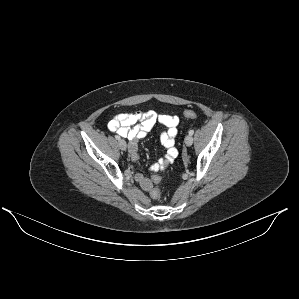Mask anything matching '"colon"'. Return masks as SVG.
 Returning a JSON list of instances; mask_svg holds the SVG:
<instances>
[{
    "instance_id": "colon-1",
    "label": "colon",
    "mask_w": 299,
    "mask_h": 299,
    "mask_svg": "<svg viewBox=\"0 0 299 299\" xmlns=\"http://www.w3.org/2000/svg\"><path fill=\"white\" fill-rule=\"evenodd\" d=\"M184 116L186 118L192 119V118H195L197 116V114L193 110H187V111L184 112ZM152 180H153V183H154V187L151 191V196L155 200H160L162 198V195H161V192H160V189H159L158 185L161 182V178L159 176H154Z\"/></svg>"
}]
</instances>
